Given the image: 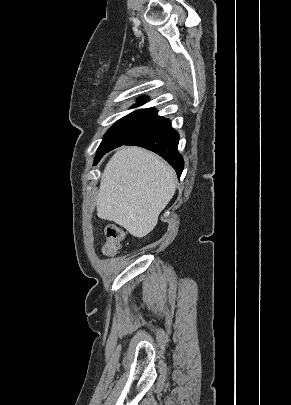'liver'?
Wrapping results in <instances>:
<instances>
[{"label":"liver","instance_id":"6515ba94","mask_svg":"<svg viewBox=\"0 0 291 405\" xmlns=\"http://www.w3.org/2000/svg\"><path fill=\"white\" fill-rule=\"evenodd\" d=\"M176 190V174L156 154L139 147L118 150L102 174L96 204L99 218L141 238L157 225Z\"/></svg>","mask_w":291,"mask_h":405}]
</instances>
